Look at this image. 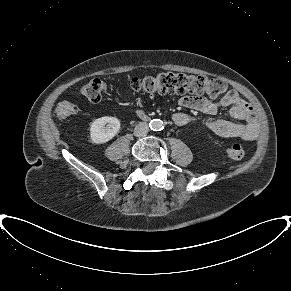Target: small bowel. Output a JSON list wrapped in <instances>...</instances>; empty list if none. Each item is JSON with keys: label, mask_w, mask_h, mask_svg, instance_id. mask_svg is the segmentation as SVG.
I'll return each instance as SVG.
<instances>
[{"label": "small bowel", "mask_w": 291, "mask_h": 291, "mask_svg": "<svg viewBox=\"0 0 291 291\" xmlns=\"http://www.w3.org/2000/svg\"><path fill=\"white\" fill-rule=\"evenodd\" d=\"M179 104L208 115L216 114L221 108H229L234 121L203 120L201 124L214 134L225 138L252 141L258 136L259 125L252 107L235 91H228L217 103L195 95L181 97ZM173 121L178 126H184L191 123L193 117L185 112H177L173 115Z\"/></svg>", "instance_id": "1"}]
</instances>
